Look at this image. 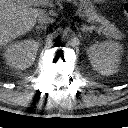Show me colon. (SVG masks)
I'll list each match as a JSON object with an SVG mask.
<instances>
[{
  "instance_id": "5ec220e1",
  "label": "colon",
  "mask_w": 128,
  "mask_h": 128,
  "mask_svg": "<svg viewBox=\"0 0 128 128\" xmlns=\"http://www.w3.org/2000/svg\"><path fill=\"white\" fill-rule=\"evenodd\" d=\"M123 10H124V14H125L126 17L128 18V1H126V2L124 3Z\"/></svg>"
}]
</instances>
